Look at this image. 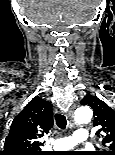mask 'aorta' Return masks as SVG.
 Segmentation results:
<instances>
[{
    "label": "aorta",
    "mask_w": 115,
    "mask_h": 155,
    "mask_svg": "<svg viewBox=\"0 0 115 155\" xmlns=\"http://www.w3.org/2000/svg\"><path fill=\"white\" fill-rule=\"evenodd\" d=\"M93 112L91 108L84 106L80 107L75 112L74 120L77 124H85L91 121Z\"/></svg>",
    "instance_id": "762f6f07"
}]
</instances>
